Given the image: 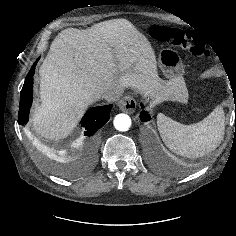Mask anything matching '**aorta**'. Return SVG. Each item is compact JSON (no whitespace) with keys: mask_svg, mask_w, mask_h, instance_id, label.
I'll return each mask as SVG.
<instances>
[{"mask_svg":"<svg viewBox=\"0 0 236 236\" xmlns=\"http://www.w3.org/2000/svg\"><path fill=\"white\" fill-rule=\"evenodd\" d=\"M131 123V118L124 113L116 115L113 121L115 129L121 132L129 130Z\"/></svg>","mask_w":236,"mask_h":236,"instance_id":"1","label":"aorta"}]
</instances>
